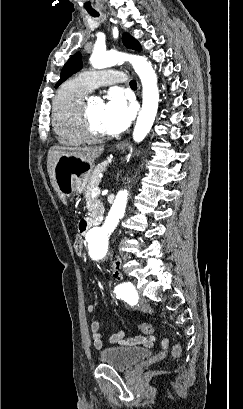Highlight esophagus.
Returning a JSON list of instances; mask_svg holds the SVG:
<instances>
[{"label":"esophagus","mask_w":243,"mask_h":409,"mask_svg":"<svg viewBox=\"0 0 243 409\" xmlns=\"http://www.w3.org/2000/svg\"><path fill=\"white\" fill-rule=\"evenodd\" d=\"M125 147V143L124 142H120L118 145H117V148L118 149H122V148H124Z\"/></svg>","instance_id":"esophagus-1"}]
</instances>
